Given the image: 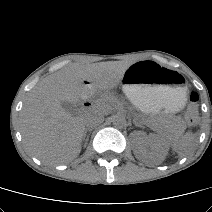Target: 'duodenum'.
Segmentation results:
<instances>
[{
    "instance_id": "1",
    "label": "duodenum",
    "mask_w": 212,
    "mask_h": 212,
    "mask_svg": "<svg viewBox=\"0 0 212 212\" xmlns=\"http://www.w3.org/2000/svg\"><path fill=\"white\" fill-rule=\"evenodd\" d=\"M93 107V104L90 100L86 99L82 102V109L85 111V112H88L92 109Z\"/></svg>"
}]
</instances>
